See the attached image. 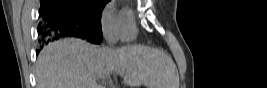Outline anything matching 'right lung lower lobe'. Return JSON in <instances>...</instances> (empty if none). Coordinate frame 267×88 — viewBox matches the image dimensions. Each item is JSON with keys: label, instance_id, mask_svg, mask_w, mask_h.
<instances>
[{"label": "right lung lower lobe", "instance_id": "right-lung-lower-lobe-1", "mask_svg": "<svg viewBox=\"0 0 267 88\" xmlns=\"http://www.w3.org/2000/svg\"><path fill=\"white\" fill-rule=\"evenodd\" d=\"M40 14L47 16L45 23L38 27L40 42L43 44L65 36L83 38L95 44L102 41V36L88 31L83 25L76 24L69 18L44 11ZM36 52L39 53V50Z\"/></svg>", "mask_w": 267, "mask_h": 88}]
</instances>
